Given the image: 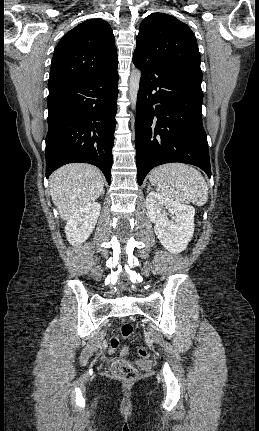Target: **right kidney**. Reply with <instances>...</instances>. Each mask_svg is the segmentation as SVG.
Instances as JSON below:
<instances>
[{
    "label": "right kidney",
    "mask_w": 259,
    "mask_h": 431,
    "mask_svg": "<svg viewBox=\"0 0 259 431\" xmlns=\"http://www.w3.org/2000/svg\"><path fill=\"white\" fill-rule=\"evenodd\" d=\"M101 205L93 202L69 218L65 233L71 244L83 243L92 233L100 215Z\"/></svg>",
    "instance_id": "obj_1"
}]
</instances>
